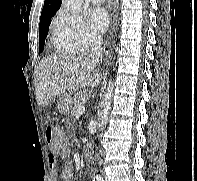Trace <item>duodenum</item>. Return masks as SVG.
<instances>
[{
	"instance_id": "1",
	"label": "duodenum",
	"mask_w": 197,
	"mask_h": 181,
	"mask_svg": "<svg viewBox=\"0 0 197 181\" xmlns=\"http://www.w3.org/2000/svg\"><path fill=\"white\" fill-rule=\"evenodd\" d=\"M92 155H93V151H92L91 146H87L85 148V157L90 159V158H92Z\"/></svg>"
}]
</instances>
